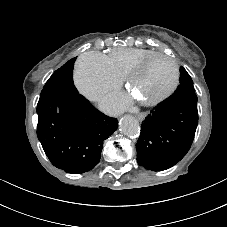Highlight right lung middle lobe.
I'll list each match as a JSON object with an SVG mask.
<instances>
[{"instance_id":"right-lung-middle-lobe-1","label":"right lung middle lobe","mask_w":227,"mask_h":227,"mask_svg":"<svg viewBox=\"0 0 227 227\" xmlns=\"http://www.w3.org/2000/svg\"><path fill=\"white\" fill-rule=\"evenodd\" d=\"M75 60L76 58L69 60L51 75L41 91V96L45 94L61 96L69 93H78L73 83Z\"/></svg>"}]
</instances>
